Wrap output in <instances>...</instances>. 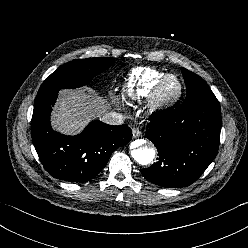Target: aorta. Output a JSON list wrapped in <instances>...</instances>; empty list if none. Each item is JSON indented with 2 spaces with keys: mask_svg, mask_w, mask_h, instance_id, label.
<instances>
[{
  "mask_svg": "<svg viewBox=\"0 0 248 248\" xmlns=\"http://www.w3.org/2000/svg\"><path fill=\"white\" fill-rule=\"evenodd\" d=\"M136 147L131 150V156L140 165H148L155 157V150L151 143L145 140H136Z\"/></svg>",
  "mask_w": 248,
  "mask_h": 248,
  "instance_id": "1",
  "label": "aorta"
}]
</instances>
